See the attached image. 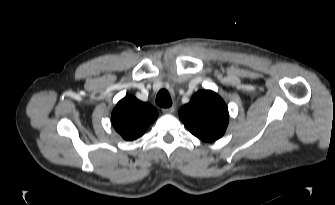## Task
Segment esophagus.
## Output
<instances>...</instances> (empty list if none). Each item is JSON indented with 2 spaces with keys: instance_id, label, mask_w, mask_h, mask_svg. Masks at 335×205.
Instances as JSON below:
<instances>
[{
  "instance_id": "1",
  "label": "esophagus",
  "mask_w": 335,
  "mask_h": 205,
  "mask_svg": "<svg viewBox=\"0 0 335 205\" xmlns=\"http://www.w3.org/2000/svg\"><path fill=\"white\" fill-rule=\"evenodd\" d=\"M175 110H176V107H175V106H171V107H169V108H163V109H162V111H163L164 113H168V114H172V113H174Z\"/></svg>"
}]
</instances>
